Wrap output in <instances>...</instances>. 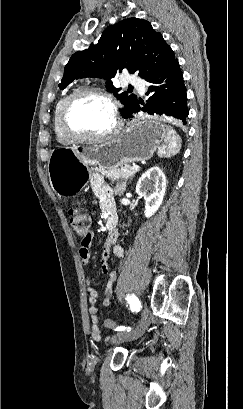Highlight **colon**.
I'll list each match as a JSON object with an SVG mask.
<instances>
[{
	"label": "colon",
	"mask_w": 243,
	"mask_h": 409,
	"mask_svg": "<svg viewBox=\"0 0 243 409\" xmlns=\"http://www.w3.org/2000/svg\"><path fill=\"white\" fill-rule=\"evenodd\" d=\"M69 217L74 231L79 236L85 238V236L88 234V228L90 224L88 215L85 214L80 208L72 207L69 209ZM104 326L110 330H114L116 327V323L111 319H106L104 321Z\"/></svg>",
	"instance_id": "5ec220e1"
}]
</instances>
